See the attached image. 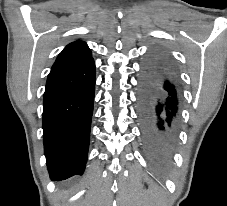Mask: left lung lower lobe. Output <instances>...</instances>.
I'll use <instances>...</instances> for the list:
<instances>
[{"label": "left lung lower lobe", "instance_id": "1", "mask_svg": "<svg viewBox=\"0 0 227 206\" xmlns=\"http://www.w3.org/2000/svg\"><path fill=\"white\" fill-rule=\"evenodd\" d=\"M178 97L173 70L162 54L154 53L142 66L138 84V117L148 148L166 150L174 142Z\"/></svg>", "mask_w": 227, "mask_h": 206}]
</instances>
